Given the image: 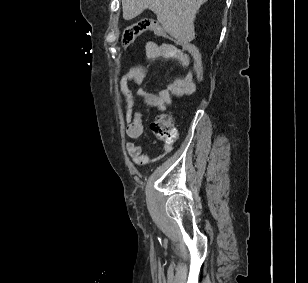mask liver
Returning <instances> with one entry per match:
<instances>
[{
	"label": "liver",
	"instance_id": "6515ba94",
	"mask_svg": "<svg viewBox=\"0 0 308 283\" xmlns=\"http://www.w3.org/2000/svg\"><path fill=\"white\" fill-rule=\"evenodd\" d=\"M208 0H122L123 18L131 20L145 9L156 14L158 22L179 43L195 38L194 20L197 11Z\"/></svg>",
	"mask_w": 308,
	"mask_h": 283
}]
</instances>
